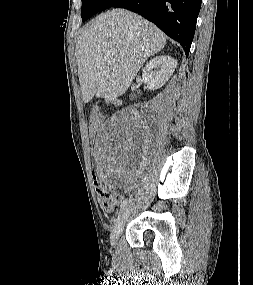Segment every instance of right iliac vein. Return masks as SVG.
I'll list each match as a JSON object with an SVG mask.
<instances>
[{"instance_id":"63e3f726","label":"right iliac vein","mask_w":253,"mask_h":285,"mask_svg":"<svg viewBox=\"0 0 253 285\" xmlns=\"http://www.w3.org/2000/svg\"><path fill=\"white\" fill-rule=\"evenodd\" d=\"M133 205V204H131ZM128 206L127 208H125L122 213L118 216L114 226H113V229H112V232H111V245L114 246L116 245L120 235L122 234L123 232V229L125 227V224L128 220V217L130 215V212L132 210V206Z\"/></svg>"}]
</instances>
